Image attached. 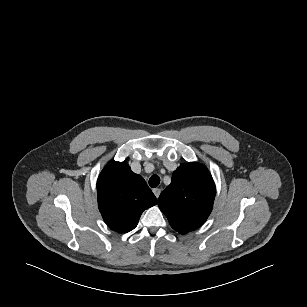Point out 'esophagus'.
Segmentation results:
<instances>
[{
	"mask_svg": "<svg viewBox=\"0 0 307 307\" xmlns=\"http://www.w3.org/2000/svg\"><path fill=\"white\" fill-rule=\"evenodd\" d=\"M153 193H154V195L156 196V198H158V197L160 196L161 189H159V188H154V189H153Z\"/></svg>",
	"mask_w": 307,
	"mask_h": 307,
	"instance_id": "obj_1",
	"label": "esophagus"
}]
</instances>
